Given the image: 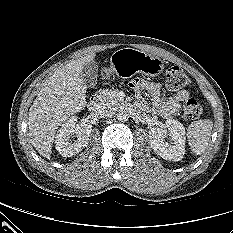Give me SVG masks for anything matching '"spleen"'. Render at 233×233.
<instances>
[{"instance_id": "obj_1", "label": "spleen", "mask_w": 233, "mask_h": 233, "mask_svg": "<svg viewBox=\"0 0 233 233\" xmlns=\"http://www.w3.org/2000/svg\"><path fill=\"white\" fill-rule=\"evenodd\" d=\"M213 122L211 119H204L192 122L188 127V144L195 155L202 154L208 147Z\"/></svg>"}]
</instances>
